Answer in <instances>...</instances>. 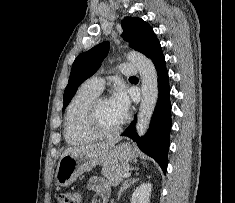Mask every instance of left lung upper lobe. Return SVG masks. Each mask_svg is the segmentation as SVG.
<instances>
[{
    "instance_id": "obj_1",
    "label": "left lung upper lobe",
    "mask_w": 235,
    "mask_h": 203,
    "mask_svg": "<svg viewBox=\"0 0 235 203\" xmlns=\"http://www.w3.org/2000/svg\"><path fill=\"white\" fill-rule=\"evenodd\" d=\"M122 37L130 46L147 56L158 41L151 26L137 17H125L122 21ZM109 50V42H103L80 54L72 65L68 85L64 92V106L69 104L77 88L100 67Z\"/></svg>"
}]
</instances>
